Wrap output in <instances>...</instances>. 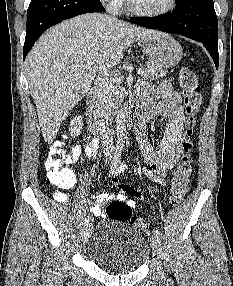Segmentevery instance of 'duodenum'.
Segmentation results:
<instances>
[{"instance_id":"obj_1","label":"duodenum","mask_w":233,"mask_h":286,"mask_svg":"<svg viewBox=\"0 0 233 286\" xmlns=\"http://www.w3.org/2000/svg\"><path fill=\"white\" fill-rule=\"evenodd\" d=\"M86 113L89 122V128L92 132L106 131V125L102 119L97 106L96 91H92L87 100ZM143 121V114L139 111L137 105H131L127 109L125 122L127 124H141Z\"/></svg>"}]
</instances>
